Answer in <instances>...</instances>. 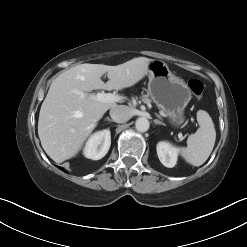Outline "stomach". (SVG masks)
<instances>
[{"instance_id": "stomach-1", "label": "stomach", "mask_w": 247, "mask_h": 247, "mask_svg": "<svg viewBox=\"0 0 247 247\" xmlns=\"http://www.w3.org/2000/svg\"><path fill=\"white\" fill-rule=\"evenodd\" d=\"M148 91L163 114L174 127L184 121V110L191 100L187 84L174 75L166 63L152 60L148 65Z\"/></svg>"}]
</instances>
